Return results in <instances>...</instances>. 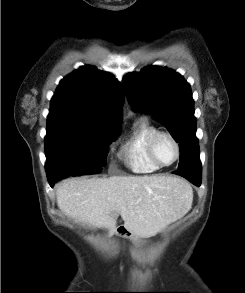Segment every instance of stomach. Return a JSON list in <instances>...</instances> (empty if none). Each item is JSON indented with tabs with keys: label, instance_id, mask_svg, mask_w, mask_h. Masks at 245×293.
I'll return each mask as SVG.
<instances>
[{
	"label": "stomach",
	"instance_id": "stomach-1",
	"mask_svg": "<svg viewBox=\"0 0 245 293\" xmlns=\"http://www.w3.org/2000/svg\"><path fill=\"white\" fill-rule=\"evenodd\" d=\"M131 238H132L134 241H137V240L139 239V237H138V236H136V235H133V234H131Z\"/></svg>",
	"mask_w": 245,
	"mask_h": 293
}]
</instances>
